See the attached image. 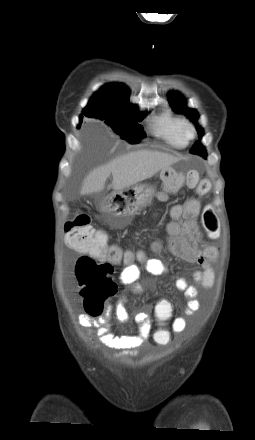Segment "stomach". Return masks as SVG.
<instances>
[{"label":"stomach","instance_id":"obj_1","mask_svg":"<svg viewBox=\"0 0 255 440\" xmlns=\"http://www.w3.org/2000/svg\"><path fill=\"white\" fill-rule=\"evenodd\" d=\"M170 168H164L162 173ZM155 189L148 185H135L121 191H114L99 203L102 212L109 214L120 224H128L153 200Z\"/></svg>","mask_w":255,"mask_h":440}]
</instances>
